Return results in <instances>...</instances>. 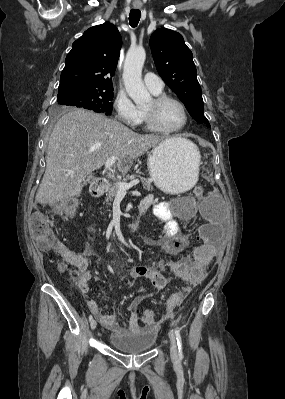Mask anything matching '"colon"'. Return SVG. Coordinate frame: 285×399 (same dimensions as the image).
I'll return each mask as SVG.
<instances>
[{
	"instance_id": "5ec220e1",
	"label": "colon",
	"mask_w": 285,
	"mask_h": 399,
	"mask_svg": "<svg viewBox=\"0 0 285 399\" xmlns=\"http://www.w3.org/2000/svg\"><path fill=\"white\" fill-rule=\"evenodd\" d=\"M193 194L196 197H201L203 195V189L201 187H195L193 189ZM79 204L74 201H68L63 203L59 210L52 216H47L42 211L34 212L29 219V230L32 238L36 244L43 251H57L62 264L67 267L72 264L74 260V255L68 252L64 245L60 243L57 236L55 235V219L58 214L66 213L69 215H74L77 211ZM193 280H197L202 274V267L195 265L192 270ZM177 306L171 305L169 309L173 311ZM158 315L157 308H147L142 311V321L146 325L154 324L156 322Z\"/></svg>"
}]
</instances>
